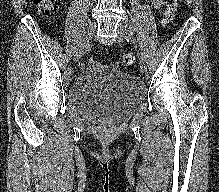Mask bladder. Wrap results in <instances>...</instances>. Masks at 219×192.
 Returning <instances> with one entry per match:
<instances>
[{
	"mask_svg": "<svg viewBox=\"0 0 219 192\" xmlns=\"http://www.w3.org/2000/svg\"><path fill=\"white\" fill-rule=\"evenodd\" d=\"M144 85L108 65L96 64L66 88V101L93 123L121 122L144 103Z\"/></svg>",
	"mask_w": 219,
	"mask_h": 192,
	"instance_id": "31cf9c89",
	"label": "bladder"
}]
</instances>
